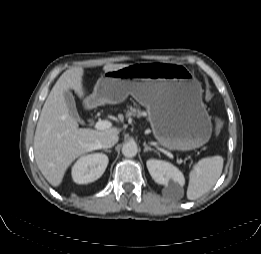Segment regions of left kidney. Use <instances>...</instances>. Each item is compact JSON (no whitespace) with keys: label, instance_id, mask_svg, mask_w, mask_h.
Here are the masks:
<instances>
[{"label":"left kidney","instance_id":"obj_1","mask_svg":"<svg viewBox=\"0 0 261 254\" xmlns=\"http://www.w3.org/2000/svg\"><path fill=\"white\" fill-rule=\"evenodd\" d=\"M146 165L151 177L158 184L165 186L178 184L182 187L185 183L183 173L169 162L149 159L147 160Z\"/></svg>","mask_w":261,"mask_h":254}]
</instances>
